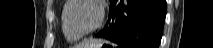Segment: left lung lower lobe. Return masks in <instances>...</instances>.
<instances>
[{"instance_id":"1","label":"left lung lower lobe","mask_w":213,"mask_h":48,"mask_svg":"<svg viewBox=\"0 0 213 48\" xmlns=\"http://www.w3.org/2000/svg\"><path fill=\"white\" fill-rule=\"evenodd\" d=\"M109 19L96 37L121 48H158L166 0H110Z\"/></svg>"}]
</instances>
